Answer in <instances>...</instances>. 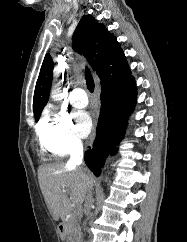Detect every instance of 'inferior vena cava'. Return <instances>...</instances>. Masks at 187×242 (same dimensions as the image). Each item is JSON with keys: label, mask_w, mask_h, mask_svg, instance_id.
I'll use <instances>...</instances> for the list:
<instances>
[{"label": "inferior vena cava", "mask_w": 187, "mask_h": 242, "mask_svg": "<svg viewBox=\"0 0 187 242\" xmlns=\"http://www.w3.org/2000/svg\"><path fill=\"white\" fill-rule=\"evenodd\" d=\"M83 160V145L80 140H75L71 146L70 151V160L68 162L69 166H76L80 165ZM94 199L92 196V189L89 190L87 199L85 201V213L86 215H89L91 210V205L93 203ZM90 242V241H87Z\"/></svg>", "instance_id": "602c4592"}]
</instances>
